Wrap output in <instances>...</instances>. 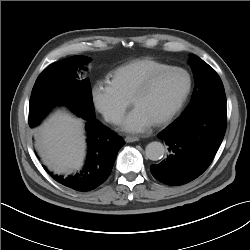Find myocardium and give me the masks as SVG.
<instances>
[{
  "label": "myocardium",
  "instance_id": "f54148a6",
  "mask_svg": "<svg viewBox=\"0 0 250 250\" xmlns=\"http://www.w3.org/2000/svg\"><path fill=\"white\" fill-rule=\"evenodd\" d=\"M173 71H179V72H182L185 74V76L187 78V86H186V89H185L183 95L181 96L178 103L174 106V108L168 114H166L163 118L154 122V125L157 127H161V126H165V125L169 124L178 115V113L182 110V108L186 104V102L190 96L191 90H192V77H191V74L189 73V71L186 70L185 68L179 67V66H167L165 68L159 69V70L153 72L152 74H150L140 84V86L136 89V91L134 92V94L131 98V102L134 105L136 99L139 98L140 96L144 95L145 93H147L159 77H161L162 75H164L168 72H173Z\"/></svg>",
  "mask_w": 250,
  "mask_h": 250
}]
</instances>
